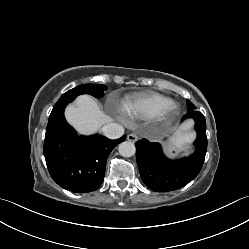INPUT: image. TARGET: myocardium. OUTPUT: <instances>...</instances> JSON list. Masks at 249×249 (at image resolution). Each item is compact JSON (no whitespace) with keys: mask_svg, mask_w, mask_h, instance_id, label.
Segmentation results:
<instances>
[{"mask_svg":"<svg viewBox=\"0 0 249 249\" xmlns=\"http://www.w3.org/2000/svg\"><path fill=\"white\" fill-rule=\"evenodd\" d=\"M178 113V106L175 103L170 104L166 108H164L162 111H160L157 115V118L169 122L171 121L174 116Z\"/></svg>","mask_w":249,"mask_h":249,"instance_id":"myocardium-1","label":"myocardium"}]
</instances>
